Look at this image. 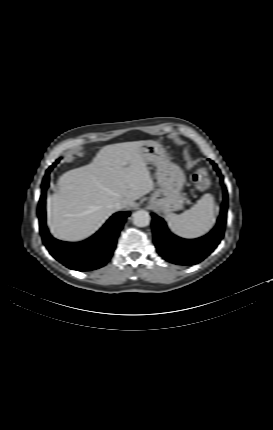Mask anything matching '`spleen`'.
<instances>
[{
    "mask_svg": "<svg viewBox=\"0 0 273 430\" xmlns=\"http://www.w3.org/2000/svg\"><path fill=\"white\" fill-rule=\"evenodd\" d=\"M215 201L212 194H205L189 210L181 214L168 213L166 221L177 236L194 239L207 234L215 223Z\"/></svg>",
    "mask_w": 273,
    "mask_h": 430,
    "instance_id": "spleen-1",
    "label": "spleen"
}]
</instances>
